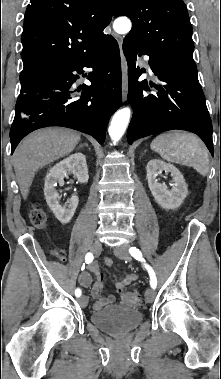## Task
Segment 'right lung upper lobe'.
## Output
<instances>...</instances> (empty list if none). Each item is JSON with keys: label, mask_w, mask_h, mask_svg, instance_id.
<instances>
[{"label": "right lung upper lobe", "mask_w": 221, "mask_h": 379, "mask_svg": "<svg viewBox=\"0 0 221 379\" xmlns=\"http://www.w3.org/2000/svg\"><path fill=\"white\" fill-rule=\"evenodd\" d=\"M112 19L111 0H31L21 37L20 80L85 56L101 46Z\"/></svg>", "instance_id": "1"}]
</instances>
